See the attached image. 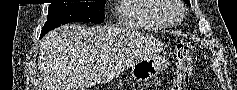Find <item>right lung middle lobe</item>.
I'll use <instances>...</instances> for the list:
<instances>
[{
    "instance_id": "right-lung-middle-lobe-1",
    "label": "right lung middle lobe",
    "mask_w": 237,
    "mask_h": 90,
    "mask_svg": "<svg viewBox=\"0 0 237 90\" xmlns=\"http://www.w3.org/2000/svg\"><path fill=\"white\" fill-rule=\"evenodd\" d=\"M105 0L95 2L50 4L48 19L42 28L40 37L49 30L69 22L102 23Z\"/></svg>"
}]
</instances>
